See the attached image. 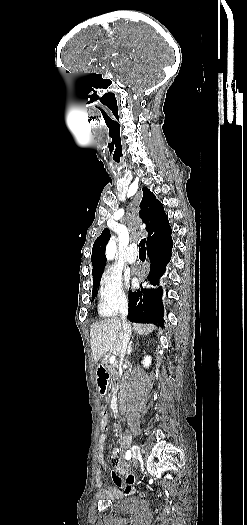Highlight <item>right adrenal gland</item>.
<instances>
[{
    "label": "right adrenal gland",
    "mask_w": 247,
    "mask_h": 525,
    "mask_svg": "<svg viewBox=\"0 0 247 525\" xmlns=\"http://www.w3.org/2000/svg\"><path fill=\"white\" fill-rule=\"evenodd\" d=\"M132 343H133V341H130V343L128 345V349H127L128 355H130V353H132Z\"/></svg>",
    "instance_id": "obj_1"
}]
</instances>
